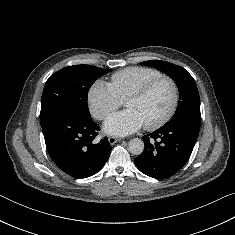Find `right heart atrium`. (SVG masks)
Wrapping results in <instances>:
<instances>
[{"label": "right heart atrium", "instance_id": "1", "mask_svg": "<svg viewBox=\"0 0 235 235\" xmlns=\"http://www.w3.org/2000/svg\"><path fill=\"white\" fill-rule=\"evenodd\" d=\"M122 105V100L110 84L96 81L88 92V106L91 114L98 120L107 118Z\"/></svg>", "mask_w": 235, "mask_h": 235}]
</instances>
